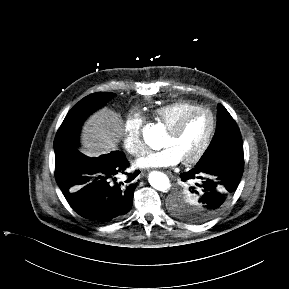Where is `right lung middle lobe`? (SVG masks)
<instances>
[{"label": "right lung middle lobe", "instance_id": "dd1d6c3e", "mask_svg": "<svg viewBox=\"0 0 289 289\" xmlns=\"http://www.w3.org/2000/svg\"><path fill=\"white\" fill-rule=\"evenodd\" d=\"M113 96L114 93L105 92L88 95L69 111L54 140L55 157L77 147L80 127L85 118L104 106Z\"/></svg>", "mask_w": 289, "mask_h": 289}]
</instances>
